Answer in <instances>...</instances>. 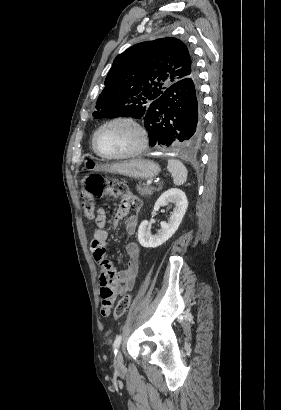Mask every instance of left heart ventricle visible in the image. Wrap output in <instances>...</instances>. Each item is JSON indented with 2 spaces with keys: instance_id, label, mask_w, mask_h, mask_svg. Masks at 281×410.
Instances as JSON below:
<instances>
[{
  "instance_id": "left-heart-ventricle-1",
  "label": "left heart ventricle",
  "mask_w": 281,
  "mask_h": 410,
  "mask_svg": "<svg viewBox=\"0 0 281 410\" xmlns=\"http://www.w3.org/2000/svg\"><path fill=\"white\" fill-rule=\"evenodd\" d=\"M139 135L135 128L125 123H116L103 128L97 136L99 150L107 155H121L135 149Z\"/></svg>"
}]
</instances>
